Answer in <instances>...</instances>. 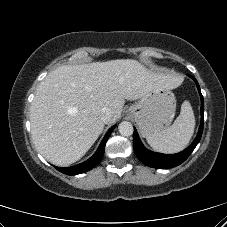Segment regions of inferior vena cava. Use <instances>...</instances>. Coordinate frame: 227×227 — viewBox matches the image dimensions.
I'll return each mask as SVG.
<instances>
[{
	"label": "inferior vena cava",
	"instance_id": "obj_1",
	"mask_svg": "<svg viewBox=\"0 0 227 227\" xmlns=\"http://www.w3.org/2000/svg\"><path fill=\"white\" fill-rule=\"evenodd\" d=\"M112 117V112L110 109L104 107L102 108V111H101V120L104 122V123H108V121L111 119Z\"/></svg>",
	"mask_w": 227,
	"mask_h": 227
}]
</instances>
